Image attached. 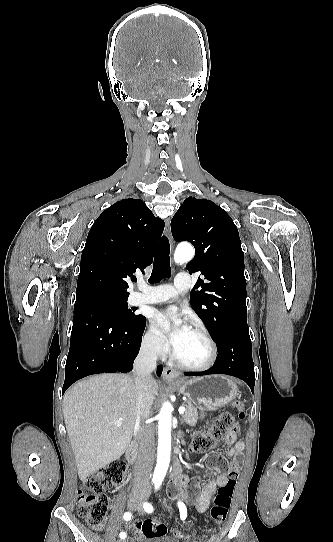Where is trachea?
Masks as SVG:
<instances>
[{
  "label": "trachea",
  "mask_w": 333,
  "mask_h": 542,
  "mask_svg": "<svg viewBox=\"0 0 333 542\" xmlns=\"http://www.w3.org/2000/svg\"><path fill=\"white\" fill-rule=\"evenodd\" d=\"M170 246L166 236H163L156 248L150 283L159 282L162 277L170 276Z\"/></svg>",
  "instance_id": "1"
}]
</instances>
